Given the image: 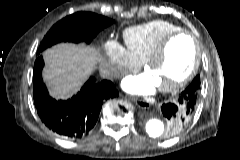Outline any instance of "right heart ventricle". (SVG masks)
<instances>
[{
	"label": "right heart ventricle",
	"mask_w": 240,
	"mask_h": 160,
	"mask_svg": "<svg viewBox=\"0 0 240 160\" xmlns=\"http://www.w3.org/2000/svg\"><path fill=\"white\" fill-rule=\"evenodd\" d=\"M178 30H181L179 26L165 20L127 28L123 32L125 49L136 63L141 64L165 36Z\"/></svg>",
	"instance_id": "obj_1"
}]
</instances>
